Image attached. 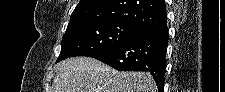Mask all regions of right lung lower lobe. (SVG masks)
<instances>
[{"label": "right lung lower lobe", "instance_id": "obj_1", "mask_svg": "<svg viewBox=\"0 0 225 92\" xmlns=\"http://www.w3.org/2000/svg\"><path fill=\"white\" fill-rule=\"evenodd\" d=\"M168 46L167 23L143 30L138 36L92 57L118 71H148L160 92L164 89L166 50Z\"/></svg>", "mask_w": 225, "mask_h": 92}]
</instances>
